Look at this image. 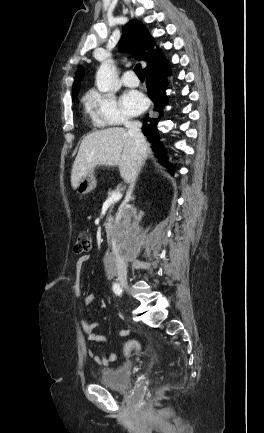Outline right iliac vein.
I'll return each instance as SVG.
<instances>
[{
  "label": "right iliac vein",
  "instance_id": "obj_1",
  "mask_svg": "<svg viewBox=\"0 0 264 433\" xmlns=\"http://www.w3.org/2000/svg\"><path fill=\"white\" fill-rule=\"evenodd\" d=\"M119 282H120L121 286H122L126 291H128L129 287H128L127 279H126V278H120V279H119Z\"/></svg>",
  "mask_w": 264,
  "mask_h": 433
}]
</instances>
